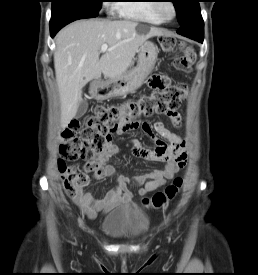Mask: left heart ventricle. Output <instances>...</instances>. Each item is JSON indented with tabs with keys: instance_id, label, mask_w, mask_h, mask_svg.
I'll return each instance as SVG.
<instances>
[{
	"instance_id": "1",
	"label": "left heart ventricle",
	"mask_w": 258,
	"mask_h": 275,
	"mask_svg": "<svg viewBox=\"0 0 258 275\" xmlns=\"http://www.w3.org/2000/svg\"><path fill=\"white\" fill-rule=\"evenodd\" d=\"M161 10H162V14H163L164 16H166V17H171L172 14H173L172 8H171L170 5L167 4V3H165V4L162 5Z\"/></svg>"
}]
</instances>
